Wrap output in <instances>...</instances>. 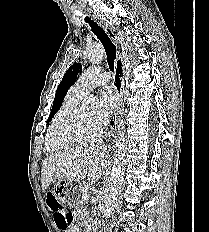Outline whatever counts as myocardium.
<instances>
[{
    "label": "myocardium",
    "mask_w": 209,
    "mask_h": 232,
    "mask_svg": "<svg viewBox=\"0 0 209 232\" xmlns=\"http://www.w3.org/2000/svg\"><path fill=\"white\" fill-rule=\"evenodd\" d=\"M82 111L83 107L77 106L62 119L55 131L59 139L67 142H76L95 137L100 133L99 126L92 131H84L79 127Z\"/></svg>",
    "instance_id": "1"
}]
</instances>
